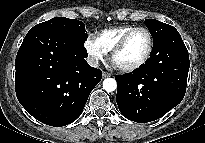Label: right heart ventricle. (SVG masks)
I'll list each match as a JSON object with an SVG mask.
<instances>
[{"label":"right heart ventricle","mask_w":205,"mask_h":143,"mask_svg":"<svg viewBox=\"0 0 205 143\" xmlns=\"http://www.w3.org/2000/svg\"><path fill=\"white\" fill-rule=\"evenodd\" d=\"M133 25H120L108 29H104L100 31L96 35V41L101 46V48L109 53L112 51L117 42L121 39V37L130 29H132Z\"/></svg>","instance_id":"obj_1"}]
</instances>
